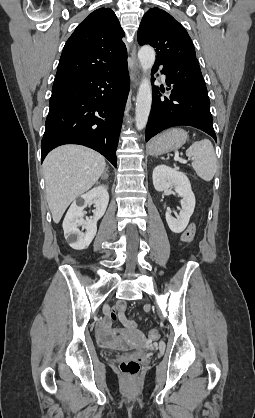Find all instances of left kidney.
<instances>
[{
	"label": "left kidney",
	"mask_w": 255,
	"mask_h": 418,
	"mask_svg": "<svg viewBox=\"0 0 255 418\" xmlns=\"http://www.w3.org/2000/svg\"><path fill=\"white\" fill-rule=\"evenodd\" d=\"M153 185L158 192L174 187L175 192L181 197V211L178 218L171 216L170 210L166 212V221L170 230L181 233L187 227L195 208V196L191 189L188 177L166 165H158L153 170Z\"/></svg>",
	"instance_id": "left-kidney-1"
}]
</instances>
